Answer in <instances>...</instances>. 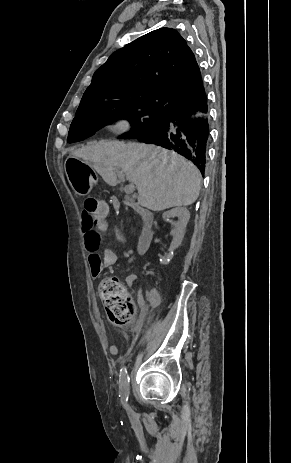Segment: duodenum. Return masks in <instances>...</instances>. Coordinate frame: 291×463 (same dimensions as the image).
I'll use <instances>...</instances> for the list:
<instances>
[{
	"label": "duodenum",
	"mask_w": 291,
	"mask_h": 463,
	"mask_svg": "<svg viewBox=\"0 0 291 463\" xmlns=\"http://www.w3.org/2000/svg\"><path fill=\"white\" fill-rule=\"evenodd\" d=\"M131 209L136 215H141L143 221L142 231L138 240V251L140 253H144L150 247L154 237V217L150 211L145 210V206L142 203H139L138 205L133 204Z\"/></svg>",
	"instance_id": "1"
}]
</instances>
